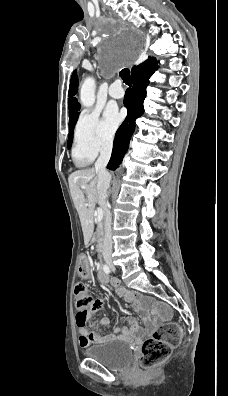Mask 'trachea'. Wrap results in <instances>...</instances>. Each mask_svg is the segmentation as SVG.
<instances>
[{
  "mask_svg": "<svg viewBox=\"0 0 228 396\" xmlns=\"http://www.w3.org/2000/svg\"><path fill=\"white\" fill-rule=\"evenodd\" d=\"M119 74H120V77L122 78L123 82L126 85H130L132 83L131 76H130V70L128 68L122 69Z\"/></svg>",
  "mask_w": 228,
  "mask_h": 396,
  "instance_id": "obj_1",
  "label": "trachea"
}]
</instances>
